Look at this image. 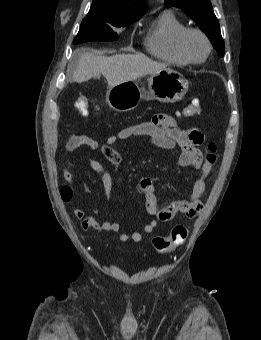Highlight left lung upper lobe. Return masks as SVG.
<instances>
[{
    "instance_id": "5c2ea615",
    "label": "left lung upper lobe",
    "mask_w": 261,
    "mask_h": 340,
    "mask_svg": "<svg viewBox=\"0 0 261 340\" xmlns=\"http://www.w3.org/2000/svg\"><path fill=\"white\" fill-rule=\"evenodd\" d=\"M166 4L181 8L208 36L218 54L224 55V41L209 0H164Z\"/></svg>"
}]
</instances>
